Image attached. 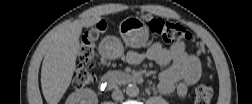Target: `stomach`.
I'll return each instance as SVG.
<instances>
[{"instance_id":"obj_1","label":"stomach","mask_w":252,"mask_h":104,"mask_svg":"<svg viewBox=\"0 0 252 104\" xmlns=\"http://www.w3.org/2000/svg\"><path fill=\"white\" fill-rule=\"evenodd\" d=\"M119 33L126 46L143 47L149 37L146 23L139 17L129 16L119 24ZM103 54L110 59H117L123 54V45L116 37L108 36L101 43Z\"/></svg>"}]
</instances>
